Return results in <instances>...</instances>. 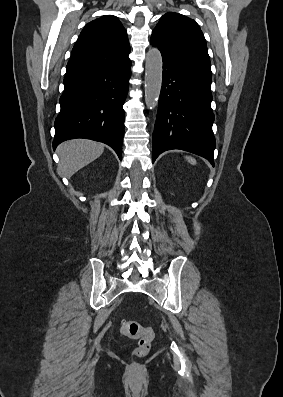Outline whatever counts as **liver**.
Instances as JSON below:
<instances>
[{"instance_id":"6515ba94","label":"liver","mask_w":283,"mask_h":397,"mask_svg":"<svg viewBox=\"0 0 283 397\" xmlns=\"http://www.w3.org/2000/svg\"><path fill=\"white\" fill-rule=\"evenodd\" d=\"M59 170L70 178L81 168L96 160L104 152V144L86 139L66 141L58 146Z\"/></svg>"}]
</instances>
